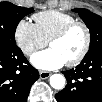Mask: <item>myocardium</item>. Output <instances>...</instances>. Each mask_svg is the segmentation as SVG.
Masks as SVG:
<instances>
[{
	"label": "myocardium",
	"mask_w": 102,
	"mask_h": 102,
	"mask_svg": "<svg viewBox=\"0 0 102 102\" xmlns=\"http://www.w3.org/2000/svg\"><path fill=\"white\" fill-rule=\"evenodd\" d=\"M77 27H81L85 32V37H86L85 44L82 51L75 59L65 63V65L68 67H74L80 64L84 60V58L86 57L89 51L90 43H91V33L88 26L84 22H81V21L72 22L68 24L67 26H65L63 29H61L59 32H57L55 35H53L48 42L50 46L53 42L59 41L63 39L64 37H66L73 29Z\"/></svg>",
	"instance_id": "f54148a6"
}]
</instances>
